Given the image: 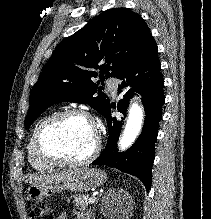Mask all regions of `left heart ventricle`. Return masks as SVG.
I'll use <instances>...</instances> for the list:
<instances>
[{"label": "left heart ventricle", "instance_id": "1", "mask_svg": "<svg viewBox=\"0 0 211 219\" xmlns=\"http://www.w3.org/2000/svg\"><path fill=\"white\" fill-rule=\"evenodd\" d=\"M96 143L94 127L77 117L58 121L45 136V147L53 155L79 160L88 156Z\"/></svg>", "mask_w": 211, "mask_h": 219}]
</instances>
